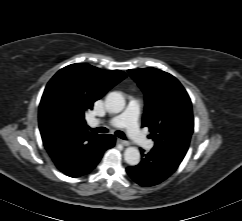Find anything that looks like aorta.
Masks as SVG:
<instances>
[{
    "label": "aorta",
    "mask_w": 242,
    "mask_h": 221,
    "mask_svg": "<svg viewBox=\"0 0 242 221\" xmlns=\"http://www.w3.org/2000/svg\"><path fill=\"white\" fill-rule=\"evenodd\" d=\"M106 104L110 112L119 113L125 107V99L119 92H110L106 97ZM124 158L129 165L136 166L140 163V152L136 147H127Z\"/></svg>",
    "instance_id": "1"
}]
</instances>
